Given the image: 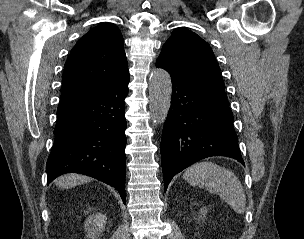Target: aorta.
<instances>
[{"instance_id": "aorta-1", "label": "aorta", "mask_w": 304, "mask_h": 239, "mask_svg": "<svg viewBox=\"0 0 304 239\" xmlns=\"http://www.w3.org/2000/svg\"><path fill=\"white\" fill-rule=\"evenodd\" d=\"M172 96L170 75L164 69H154L149 78V109L153 124L165 122Z\"/></svg>"}]
</instances>
